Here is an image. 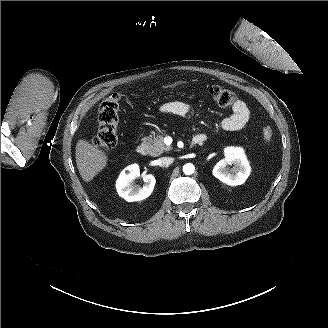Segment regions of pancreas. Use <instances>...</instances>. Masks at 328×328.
Returning a JSON list of instances; mask_svg holds the SVG:
<instances>
[{
    "mask_svg": "<svg viewBox=\"0 0 328 328\" xmlns=\"http://www.w3.org/2000/svg\"><path fill=\"white\" fill-rule=\"evenodd\" d=\"M142 142L148 147L149 155L153 157H157L163 152L173 149L171 146H167L164 143V137L162 135H158L154 138L151 136L143 137Z\"/></svg>",
    "mask_w": 328,
    "mask_h": 328,
    "instance_id": "cf45deb5",
    "label": "pancreas"
}]
</instances>
